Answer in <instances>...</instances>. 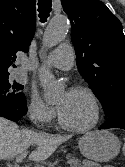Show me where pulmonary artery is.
Returning <instances> with one entry per match:
<instances>
[{"label": "pulmonary artery", "mask_w": 125, "mask_h": 167, "mask_svg": "<svg viewBox=\"0 0 125 167\" xmlns=\"http://www.w3.org/2000/svg\"><path fill=\"white\" fill-rule=\"evenodd\" d=\"M44 63L61 70L71 69L74 64V52L72 47L69 44L60 45L47 56ZM22 68L24 70H28L30 68L36 69L37 66H31L29 63L22 61Z\"/></svg>", "instance_id": "pulmonary-artery-1"}]
</instances>
